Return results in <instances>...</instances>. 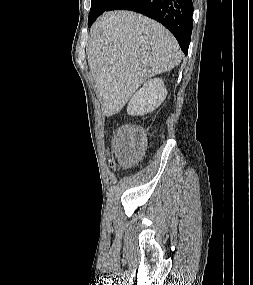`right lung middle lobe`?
Returning a JSON list of instances; mask_svg holds the SVG:
<instances>
[{
    "label": "right lung middle lobe",
    "mask_w": 253,
    "mask_h": 285,
    "mask_svg": "<svg viewBox=\"0 0 253 285\" xmlns=\"http://www.w3.org/2000/svg\"><path fill=\"white\" fill-rule=\"evenodd\" d=\"M112 1L113 0H92L88 23L97 19V17L107 9Z\"/></svg>",
    "instance_id": "dd1d6c3e"
}]
</instances>
